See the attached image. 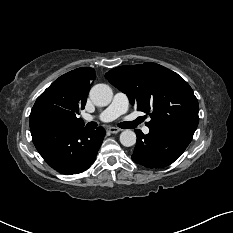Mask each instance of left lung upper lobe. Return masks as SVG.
<instances>
[{"mask_svg":"<svg viewBox=\"0 0 233 233\" xmlns=\"http://www.w3.org/2000/svg\"><path fill=\"white\" fill-rule=\"evenodd\" d=\"M130 103L151 117L149 129H171L194 134L199 105L189 84L177 73L156 63L124 65L106 73Z\"/></svg>","mask_w":233,"mask_h":233,"instance_id":"1","label":"left lung upper lobe"}]
</instances>
